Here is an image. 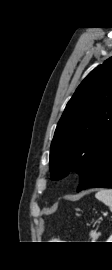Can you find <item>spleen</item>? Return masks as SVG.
Instances as JSON below:
<instances>
[{
  "label": "spleen",
  "mask_w": 112,
  "mask_h": 270,
  "mask_svg": "<svg viewBox=\"0 0 112 270\" xmlns=\"http://www.w3.org/2000/svg\"><path fill=\"white\" fill-rule=\"evenodd\" d=\"M95 197L106 204L112 212V189H102L95 194Z\"/></svg>",
  "instance_id": "3e777b00"
}]
</instances>
